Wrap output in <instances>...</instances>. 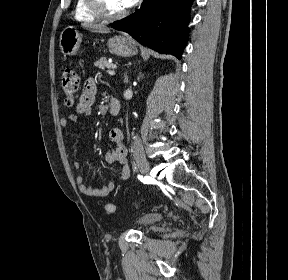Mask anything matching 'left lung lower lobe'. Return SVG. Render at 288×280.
<instances>
[{"mask_svg":"<svg viewBox=\"0 0 288 280\" xmlns=\"http://www.w3.org/2000/svg\"><path fill=\"white\" fill-rule=\"evenodd\" d=\"M192 3L193 0H144L136 12L110 26L128 32L144 46L180 59L188 38Z\"/></svg>","mask_w":288,"mask_h":280,"instance_id":"0a47b994","label":"left lung lower lobe"}]
</instances>
